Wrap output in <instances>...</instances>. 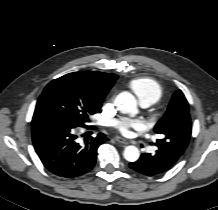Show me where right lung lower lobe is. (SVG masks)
I'll return each instance as SVG.
<instances>
[{
    "instance_id": "right-lung-lower-lobe-1",
    "label": "right lung lower lobe",
    "mask_w": 218,
    "mask_h": 210,
    "mask_svg": "<svg viewBox=\"0 0 218 210\" xmlns=\"http://www.w3.org/2000/svg\"><path fill=\"white\" fill-rule=\"evenodd\" d=\"M31 126L33 145L43 165L51 173L64 178L89 172L95 165L98 147L107 140L103 133H99L80 145L74 132L84 126L53 114L34 115Z\"/></svg>"
}]
</instances>
